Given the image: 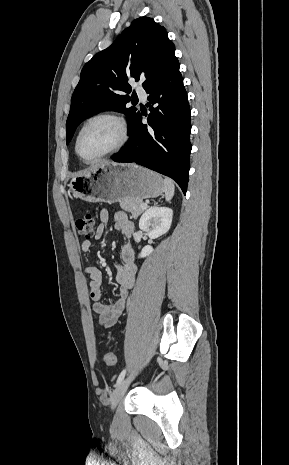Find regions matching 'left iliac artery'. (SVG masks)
<instances>
[{
	"instance_id": "obj_1",
	"label": "left iliac artery",
	"mask_w": 289,
	"mask_h": 465,
	"mask_svg": "<svg viewBox=\"0 0 289 465\" xmlns=\"http://www.w3.org/2000/svg\"><path fill=\"white\" fill-rule=\"evenodd\" d=\"M125 374H126V369L122 370V372L118 376V379H117V382H116L115 386L119 385V383L124 379Z\"/></svg>"
}]
</instances>
